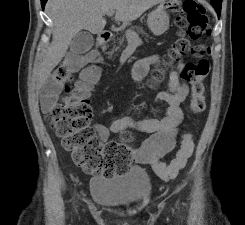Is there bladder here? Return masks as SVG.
Instances as JSON below:
<instances>
[{
	"mask_svg": "<svg viewBox=\"0 0 245 225\" xmlns=\"http://www.w3.org/2000/svg\"><path fill=\"white\" fill-rule=\"evenodd\" d=\"M90 181L93 202L105 207L133 208L152 191L148 173L138 166L113 176H95Z\"/></svg>",
	"mask_w": 245,
	"mask_h": 225,
	"instance_id": "obj_1",
	"label": "bladder"
}]
</instances>
